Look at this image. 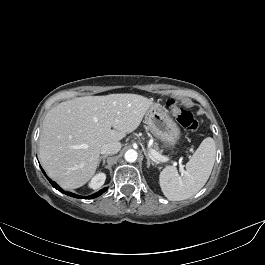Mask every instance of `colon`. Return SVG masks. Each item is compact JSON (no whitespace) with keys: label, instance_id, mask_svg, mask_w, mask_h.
Segmentation results:
<instances>
[{"label":"colon","instance_id":"1","mask_svg":"<svg viewBox=\"0 0 265 265\" xmlns=\"http://www.w3.org/2000/svg\"><path fill=\"white\" fill-rule=\"evenodd\" d=\"M167 104L171 107L173 113L176 116L178 123L188 131H195L198 127V121L194 114L178 105V102L171 98L167 101Z\"/></svg>","mask_w":265,"mask_h":265}]
</instances>
